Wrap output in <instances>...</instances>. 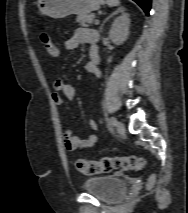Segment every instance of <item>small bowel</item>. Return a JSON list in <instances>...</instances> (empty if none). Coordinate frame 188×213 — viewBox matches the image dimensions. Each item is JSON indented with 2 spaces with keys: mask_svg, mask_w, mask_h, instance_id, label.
Masks as SVG:
<instances>
[{
  "mask_svg": "<svg viewBox=\"0 0 188 213\" xmlns=\"http://www.w3.org/2000/svg\"><path fill=\"white\" fill-rule=\"evenodd\" d=\"M99 34L95 29L79 27L72 36L65 42V48L69 51L75 50L80 44L90 45V60L86 64L85 69L89 74L101 77L99 54L97 49V42ZM62 95L68 100H73L76 97L75 87L63 80H56L53 84V92L51 100L57 107L63 105ZM91 130L97 129V122L95 120L89 121ZM63 143L68 151H76L82 148L93 147L97 143V136L90 134L87 137L81 138L71 133L70 127L65 126L63 129Z\"/></svg>",
  "mask_w": 188,
  "mask_h": 213,
  "instance_id": "1",
  "label": "small bowel"
}]
</instances>
